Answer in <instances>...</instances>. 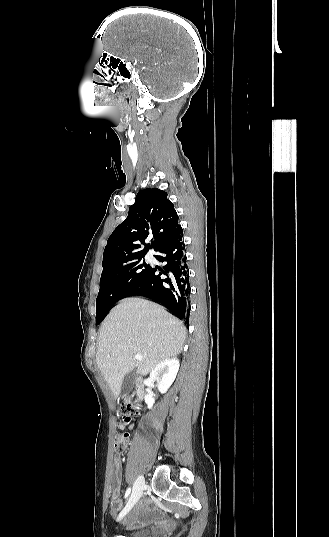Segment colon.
<instances>
[{
    "instance_id": "obj_1",
    "label": "colon",
    "mask_w": 329,
    "mask_h": 537,
    "mask_svg": "<svg viewBox=\"0 0 329 537\" xmlns=\"http://www.w3.org/2000/svg\"><path fill=\"white\" fill-rule=\"evenodd\" d=\"M134 408L130 401H127L120 409V416L124 423L129 424L133 420ZM130 435L128 432H118L114 438V452L120 454L124 452L129 445Z\"/></svg>"
}]
</instances>
